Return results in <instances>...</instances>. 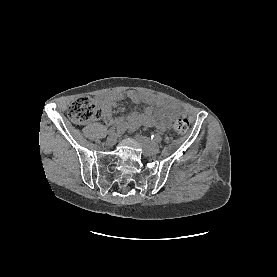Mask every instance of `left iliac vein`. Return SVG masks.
I'll list each match as a JSON object with an SVG mask.
<instances>
[{
	"label": "left iliac vein",
	"mask_w": 277,
	"mask_h": 277,
	"mask_svg": "<svg viewBox=\"0 0 277 277\" xmlns=\"http://www.w3.org/2000/svg\"><path fill=\"white\" fill-rule=\"evenodd\" d=\"M136 137L139 140L145 155L155 156L160 152L159 146L146 136L137 134Z\"/></svg>",
	"instance_id": "1"
}]
</instances>
